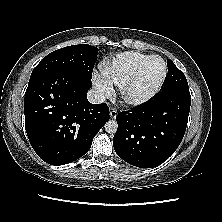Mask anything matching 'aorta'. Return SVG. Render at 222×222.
Returning <instances> with one entry per match:
<instances>
[{"label":"aorta","instance_id":"1","mask_svg":"<svg viewBox=\"0 0 222 222\" xmlns=\"http://www.w3.org/2000/svg\"><path fill=\"white\" fill-rule=\"evenodd\" d=\"M105 131L109 134H114L117 132L118 124L115 120H109L104 125Z\"/></svg>","mask_w":222,"mask_h":222}]
</instances>
